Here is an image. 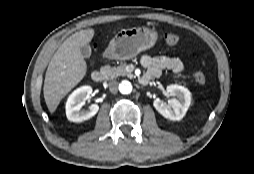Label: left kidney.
<instances>
[{
	"label": "left kidney",
	"mask_w": 254,
	"mask_h": 174,
	"mask_svg": "<svg viewBox=\"0 0 254 174\" xmlns=\"http://www.w3.org/2000/svg\"><path fill=\"white\" fill-rule=\"evenodd\" d=\"M167 92L170 96H176L177 99H172L170 104H165L162 100L156 99L153 106L163 117L180 121L190 106L191 93L184 86L176 84L167 86Z\"/></svg>",
	"instance_id": "left-kidney-1"
}]
</instances>
